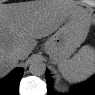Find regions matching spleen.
Instances as JSON below:
<instances>
[{"mask_svg": "<svg viewBox=\"0 0 95 95\" xmlns=\"http://www.w3.org/2000/svg\"><path fill=\"white\" fill-rule=\"evenodd\" d=\"M95 55L89 46L81 47L71 58L58 63L62 75L71 80H82L94 69Z\"/></svg>", "mask_w": 95, "mask_h": 95, "instance_id": "3e777b00", "label": "spleen"}]
</instances>
